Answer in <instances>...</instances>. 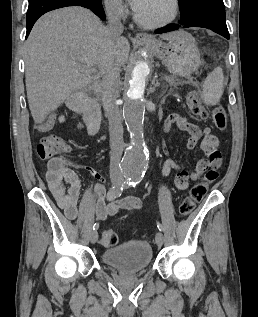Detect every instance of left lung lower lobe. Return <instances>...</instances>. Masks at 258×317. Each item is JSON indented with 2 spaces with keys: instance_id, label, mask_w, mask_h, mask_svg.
Returning <instances> with one entry per match:
<instances>
[{
  "instance_id": "obj_1",
  "label": "left lung lower lobe",
  "mask_w": 258,
  "mask_h": 317,
  "mask_svg": "<svg viewBox=\"0 0 258 317\" xmlns=\"http://www.w3.org/2000/svg\"><path fill=\"white\" fill-rule=\"evenodd\" d=\"M203 27L208 28L229 39V32L225 21V6L219 0H205L200 2L194 13L187 19L180 20L179 24H170L158 29L157 33H165L177 30L179 27Z\"/></svg>"
}]
</instances>
